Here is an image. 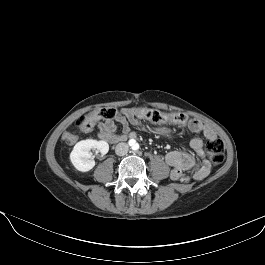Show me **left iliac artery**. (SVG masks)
I'll list each match as a JSON object with an SVG mask.
<instances>
[{"label":"left iliac artery","instance_id":"1","mask_svg":"<svg viewBox=\"0 0 265 265\" xmlns=\"http://www.w3.org/2000/svg\"><path fill=\"white\" fill-rule=\"evenodd\" d=\"M135 149H139V145H138V144H136V147H135Z\"/></svg>","mask_w":265,"mask_h":265}]
</instances>
